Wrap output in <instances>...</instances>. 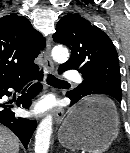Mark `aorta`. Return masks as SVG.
I'll return each instance as SVG.
<instances>
[{
    "instance_id": "1",
    "label": "aorta",
    "mask_w": 130,
    "mask_h": 153,
    "mask_svg": "<svg viewBox=\"0 0 130 153\" xmlns=\"http://www.w3.org/2000/svg\"><path fill=\"white\" fill-rule=\"evenodd\" d=\"M54 61L65 62L68 60V50L61 46H56L52 50ZM52 133V116L47 115L39 124L35 136V153H47L50 145Z\"/></svg>"
}]
</instances>
